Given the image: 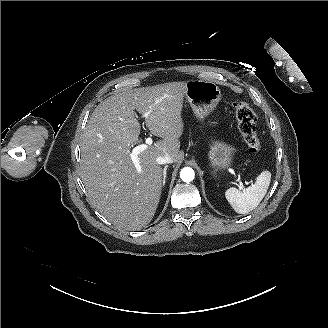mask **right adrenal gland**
I'll return each mask as SVG.
<instances>
[{
  "label": "right adrenal gland",
  "mask_w": 328,
  "mask_h": 328,
  "mask_svg": "<svg viewBox=\"0 0 328 328\" xmlns=\"http://www.w3.org/2000/svg\"><path fill=\"white\" fill-rule=\"evenodd\" d=\"M165 171H166V169H165ZM166 183V174H165V176H164V184Z\"/></svg>",
  "instance_id": "2a0ac1e0"
}]
</instances>
